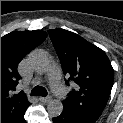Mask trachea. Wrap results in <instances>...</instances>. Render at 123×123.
Masks as SVG:
<instances>
[{
    "mask_svg": "<svg viewBox=\"0 0 123 123\" xmlns=\"http://www.w3.org/2000/svg\"><path fill=\"white\" fill-rule=\"evenodd\" d=\"M32 95H36V96H43L45 97L47 95V90L42 87V86H35L32 91H31Z\"/></svg>",
    "mask_w": 123,
    "mask_h": 123,
    "instance_id": "obj_1",
    "label": "trachea"
}]
</instances>
